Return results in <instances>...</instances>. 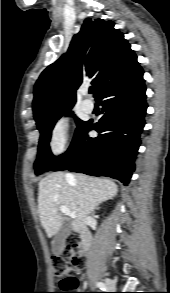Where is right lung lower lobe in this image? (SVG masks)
Returning <instances> with one entry per match:
<instances>
[{
    "label": "right lung lower lobe",
    "instance_id": "1",
    "mask_svg": "<svg viewBox=\"0 0 170 293\" xmlns=\"http://www.w3.org/2000/svg\"><path fill=\"white\" fill-rule=\"evenodd\" d=\"M143 70L131 73L105 85L96 100L103 106L99 122H84L68 151L51 171L70 170L92 176H108L129 183L135 169L134 160L144 127L145 100ZM99 135L88 136L89 130Z\"/></svg>",
    "mask_w": 170,
    "mask_h": 293
}]
</instances>
